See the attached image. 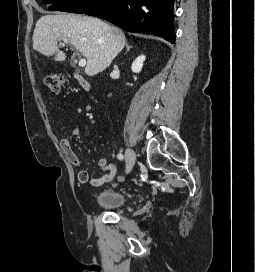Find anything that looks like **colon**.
Returning <instances> with one entry per match:
<instances>
[{"mask_svg":"<svg viewBox=\"0 0 255 272\" xmlns=\"http://www.w3.org/2000/svg\"><path fill=\"white\" fill-rule=\"evenodd\" d=\"M64 76L58 72H50L43 76V85L49 90L52 95H58L61 90Z\"/></svg>","mask_w":255,"mask_h":272,"instance_id":"colon-1","label":"colon"}]
</instances>
